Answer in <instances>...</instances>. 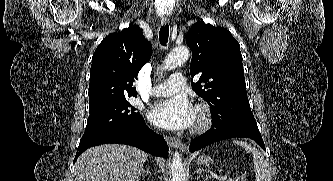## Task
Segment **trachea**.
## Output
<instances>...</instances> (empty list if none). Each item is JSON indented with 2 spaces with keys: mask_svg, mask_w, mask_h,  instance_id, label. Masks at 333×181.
Wrapping results in <instances>:
<instances>
[{
  "mask_svg": "<svg viewBox=\"0 0 333 181\" xmlns=\"http://www.w3.org/2000/svg\"><path fill=\"white\" fill-rule=\"evenodd\" d=\"M168 36H169V26L166 24L165 26H162L159 32V40L162 46H166L168 42Z\"/></svg>",
  "mask_w": 333,
  "mask_h": 181,
  "instance_id": "trachea-1",
  "label": "trachea"
}]
</instances>
